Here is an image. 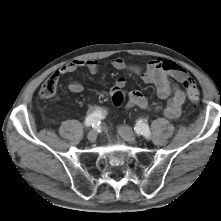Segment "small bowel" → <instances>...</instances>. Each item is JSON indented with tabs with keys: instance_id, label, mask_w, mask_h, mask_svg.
<instances>
[{
	"instance_id": "c3829d8e",
	"label": "small bowel",
	"mask_w": 221,
	"mask_h": 221,
	"mask_svg": "<svg viewBox=\"0 0 221 221\" xmlns=\"http://www.w3.org/2000/svg\"><path fill=\"white\" fill-rule=\"evenodd\" d=\"M112 66L117 70L130 69L141 74L142 80L146 84L155 87L156 94L159 98L167 100L164 112L167 117L175 119L179 117L187 94L178 85L173 84L171 78L183 83L188 78L187 72L177 63L166 59H154L147 63L144 70L140 71L137 67L128 66L124 59L117 57L112 60ZM85 67L90 74H96L99 71V63L96 60H77L61 67L55 71L53 76L60 78L75 72L78 68ZM125 79L119 77L111 87V94L116 90H123ZM67 88L72 93H80L83 86L78 81H69ZM127 108L149 109L148 99L139 91H130L127 94Z\"/></svg>"
}]
</instances>
